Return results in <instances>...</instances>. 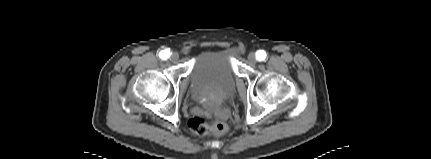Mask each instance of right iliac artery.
Returning a JSON list of instances; mask_svg holds the SVG:
<instances>
[{
	"mask_svg": "<svg viewBox=\"0 0 431 159\" xmlns=\"http://www.w3.org/2000/svg\"><path fill=\"white\" fill-rule=\"evenodd\" d=\"M159 57H160L161 59H163V60L168 59V58L170 57V50H169V49L162 50V51L159 53Z\"/></svg>",
	"mask_w": 431,
	"mask_h": 159,
	"instance_id": "right-iliac-artery-1",
	"label": "right iliac artery"
}]
</instances>
